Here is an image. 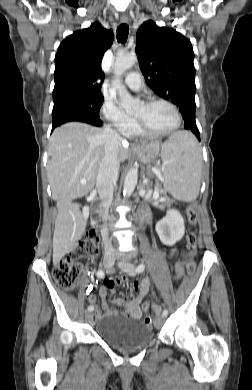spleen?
<instances>
[{"mask_svg":"<svg viewBox=\"0 0 252 390\" xmlns=\"http://www.w3.org/2000/svg\"><path fill=\"white\" fill-rule=\"evenodd\" d=\"M164 186L177 200L194 201L200 190L202 156L195 138L177 132L162 147Z\"/></svg>","mask_w":252,"mask_h":390,"instance_id":"spleen-1","label":"spleen"}]
</instances>
